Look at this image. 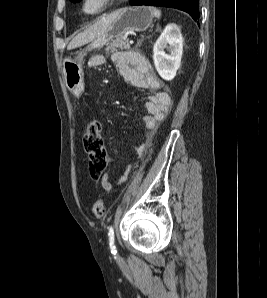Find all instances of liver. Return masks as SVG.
Returning <instances> with one entry per match:
<instances>
[{
    "mask_svg": "<svg viewBox=\"0 0 267 298\" xmlns=\"http://www.w3.org/2000/svg\"><path fill=\"white\" fill-rule=\"evenodd\" d=\"M115 18L116 12L101 17L92 26L76 35L69 43L67 49L72 50L93 41L110 27Z\"/></svg>",
    "mask_w": 267,
    "mask_h": 298,
    "instance_id": "1",
    "label": "liver"
}]
</instances>
